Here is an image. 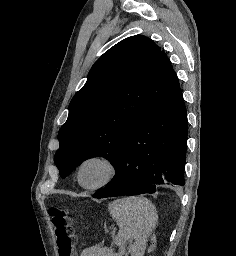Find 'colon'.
Masks as SVG:
<instances>
[{
	"label": "colon",
	"mask_w": 236,
	"mask_h": 256,
	"mask_svg": "<svg viewBox=\"0 0 236 256\" xmlns=\"http://www.w3.org/2000/svg\"><path fill=\"white\" fill-rule=\"evenodd\" d=\"M56 241L58 256H73L75 236L69 222L68 212L61 207H51L48 211Z\"/></svg>",
	"instance_id": "5ec220e1"
}]
</instances>
